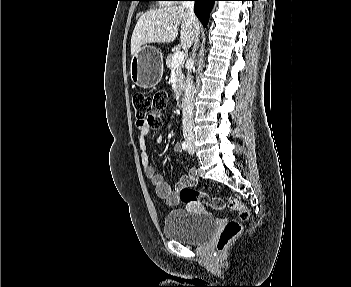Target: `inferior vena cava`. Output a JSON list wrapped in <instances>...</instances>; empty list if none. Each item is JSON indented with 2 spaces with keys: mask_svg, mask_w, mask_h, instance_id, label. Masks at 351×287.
<instances>
[{
  "mask_svg": "<svg viewBox=\"0 0 351 287\" xmlns=\"http://www.w3.org/2000/svg\"><path fill=\"white\" fill-rule=\"evenodd\" d=\"M182 7L188 10V15L193 23L197 21L196 16L194 14V1H183ZM198 34L194 39V47L192 57L188 60V73L186 79L185 86V96L183 99V120H182V129L183 136L186 139L194 140V132H193V109H194V90L195 87L193 85V80L190 75L191 67L194 64L195 51L198 45Z\"/></svg>",
  "mask_w": 351,
  "mask_h": 287,
  "instance_id": "inferior-vena-cava-1",
  "label": "inferior vena cava"
}]
</instances>
